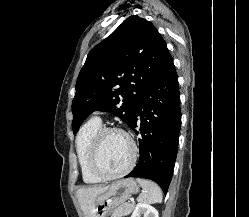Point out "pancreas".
I'll return each mask as SVG.
<instances>
[{
    "label": "pancreas",
    "instance_id": "pancreas-1",
    "mask_svg": "<svg viewBox=\"0 0 249 217\" xmlns=\"http://www.w3.org/2000/svg\"><path fill=\"white\" fill-rule=\"evenodd\" d=\"M134 203H124L119 207L115 208L111 217H123L129 215L134 209Z\"/></svg>",
    "mask_w": 249,
    "mask_h": 217
}]
</instances>
